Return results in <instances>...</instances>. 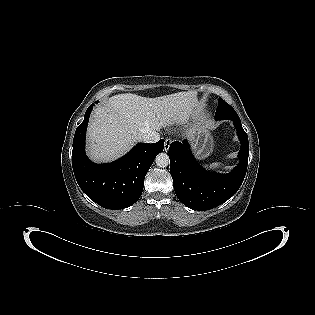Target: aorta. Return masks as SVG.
<instances>
[{
  "instance_id": "obj_1",
  "label": "aorta",
  "mask_w": 315,
  "mask_h": 315,
  "mask_svg": "<svg viewBox=\"0 0 315 315\" xmlns=\"http://www.w3.org/2000/svg\"><path fill=\"white\" fill-rule=\"evenodd\" d=\"M156 165L165 168L169 164V156L166 153H159L155 158Z\"/></svg>"
}]
</instances>
